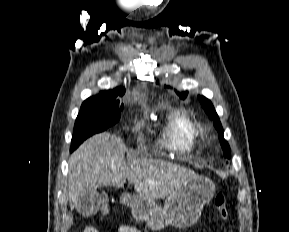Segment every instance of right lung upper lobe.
Masks as SVG:
<instances>
[{
  "mask_svg": "<svg viewBox=\"0 0 289 232\" xmlns=\"http://www.w3.org/2000/svg\"><path fill=\"white\" fill-rule=\"evenodd\" d=\"M125 92L124 88H116L114 90H110V91H103L100 93V95L94 96V97H90L88 99H99V98H103V99H115L118 95L122 96Z\"/></svg>",
  "mask_w": 289,
  "mask_h": 232,
  "instance_id": "obj_1",
  "label": "right lung upper lobe"
}]
</instances>
